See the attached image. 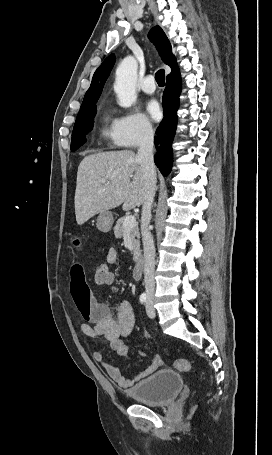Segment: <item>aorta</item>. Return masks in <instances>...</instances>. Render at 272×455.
I'll list each match as a JSON object with an SVG mask.
<instances>
[{
  "label": "aorta",
  "mask_w": 272,
  "mask_h": 455,
  "mask_svg": "<svg viewBox=\"0 0 272 455\" xmlns=\"http://www.w3.org/2000/svg\"><path fill=\"white\" fill-rule=\"evenodd\" d=\"M138 64L133 56L125 57L116 69L114 91L121 107L128 108L136 101Z\"/></svg>",
  "instance_id": "762f6f07"
}]
</instances>
